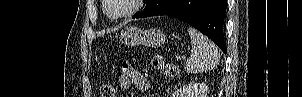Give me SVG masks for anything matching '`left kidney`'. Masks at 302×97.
<instances>
[{"mask_svg": "<svg viewBox=\"0 0 302 97\" xmlns=\"http://www.w3.org/2000/svg\"><path fill=\"white\" fill-rule=\"evenodd\" d=\"M208 86L205 83H190L177 89L172 97H206Z\"/></svg>", "mask_w": 302, "mask_h": 97, "instance_id": "5707ae66", "label": "left kidney"}]
</instances>
